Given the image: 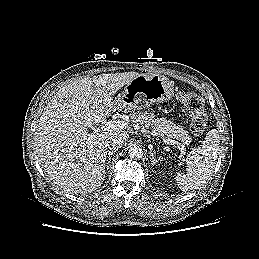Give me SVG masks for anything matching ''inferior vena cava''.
<instances>
[{"mask_svg": "<svg viewBox=\"0 0 259 259\" xmlns=\"http://www.w3.org/2000/svg\"><path fill=\"white\" fill-rule=\"evenodd\" d=\"M123 140L119 137H111L108 141H107V146L110 149L116 150L122 147L123 145Z\"/></svg>", "mask_w": 259, "mask_h": 259, "instance_id": "inferior-vena-cava-1", "label": "inferior vena cava"}]
</instances>
